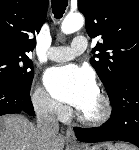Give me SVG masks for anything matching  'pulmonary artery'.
<instances>
[{
  "label": "pulmonary artery",
  "mask_w": 139,
  "mask_h": 150,
  "mask_svg": "<svg viewBox=\"0 0 139 150\" xmlns=\"http://www.w3.org/2000/svg\"><path fill=\"white\" fill-rule=\"evenodd\" d=\"M87 48V39L84 36H77L70 46L52 47L48 57L52 61L66 62L83 53Z\"/></svg>",
  "instance_id": "obj_1"
}]
</instances>
